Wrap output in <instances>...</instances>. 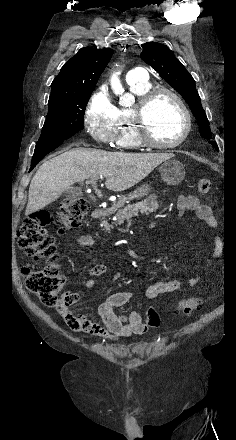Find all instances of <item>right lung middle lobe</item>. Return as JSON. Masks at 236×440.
<instances>
[{
	"mask_svg": "<svg viewBox=\"0 0 236 440\" xmlns=\"http://www.w3.org/2000/svg\"><path fill=\"white\" fill-rule=\"evenodd\" d=\"M90 94L48 103V114L38 142L69 138L84 128V112Z\"/></svg>",
	"mask_w": 236,
	"mask_h": 440,
	"instance_id": "right-lung-middle-lobe-1",
	"label": "right lung middle lobe"
}]
</instances>
